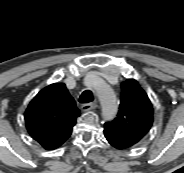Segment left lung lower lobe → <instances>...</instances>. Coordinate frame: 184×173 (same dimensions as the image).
Returning a JSON list of instances; mask_svg holds the SVG:
<instances>
[{"mask_svg": "<svg viewBox=\"0 0 184 173\" xmlns=\"http://www.w3.org/2000/svg\"><path fill=\"white\" fill-rule=\"evenodd\" d=\"M104 135H105L106 140L109 142V144L111 146H113L114 148L119 149V150L129 148V146L124 144L122 141H120L119 139H117L113 135L105 133V132H104Z\"/></svg>", "mask_w": 184, "mask_h": 173, "instance_id": "left-lung-lower-lobe-1", "label": "left lung lower lobe"}]
</instances>
